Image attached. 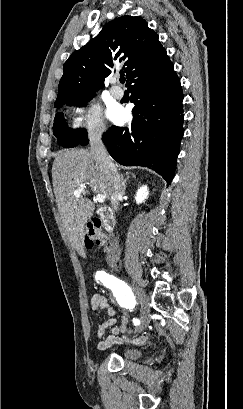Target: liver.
I'll list each match as a JSON object with an SVG mask.
<instances>
[{
  "label": "liver",
  "mask_w": 243,
  "mask_h": 409,
  "mask_svg": "<svg viewBox=\"0 0 243 409\" xmlns=\"http://www.w3.org/2000/svg\"><path fill=\"white\" fill-rule=\"evenodd\" d=\"M52 181L62 225L72 246L80 250L85 236L84 225L94 214L93 202L85 197L89 189L110 198L106 173L99 161L85 149L64 150L52 166ZM81 186L85 193L79 197L74 191Z\"/></svg>",
  "instance_id": "obj_1"
}]
</instances>
